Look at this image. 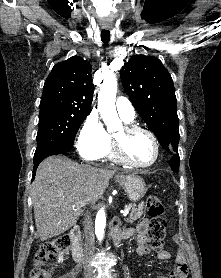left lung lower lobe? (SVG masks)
I'll use <instances>...</instances> for the list:
<instances>
[{"instance_id":"left-lung-lower-lobe-1","label":"left lung lower lobe","mask_w":221,"mask_h":278,"mask_svg":"<svg viewBox=\"0 0 221 278\" xmlns=\"http://www.w3.org/2000/svg\"><path fill=\"white\" fill-rule=\"evenodd\" d=\"M172 154H174V155H173L172 160H171V168H172L173 171H178L179 162H180L178 152H174Z\"/></svg>"}]
</instances>
